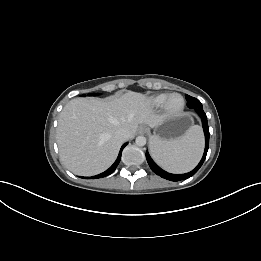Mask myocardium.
Returning <instances> with one entry per match:
<instances>
[{"label": "myocardium", "instance_id": "1", "mask_svg": "<svg viewBox=\"0 0 261 261\" xmlns=\"http://www.w3.org/2000/svg\"><path fill=\"white\" fill-rule=\"evenodd\" d=\"M174 97H179L181 99V104L179 107L177 108H172L170 106V102L171 100L174 98ZM185 99L184 97L181 95V94H178V93H173V94H170L167 99L165 100V103L163 105L164 107V111L169 115V116H178L180 115L183 110L185 109Z\"/></svg>", "mask_w": 261, "mask_h": 261}]
</instances>
